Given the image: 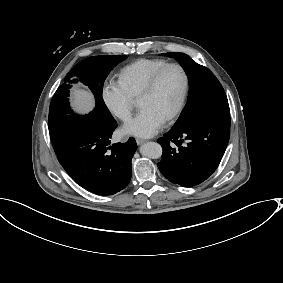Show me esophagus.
I'll return each mask as SVG.
<instances>
[{"instance_id":"obj_1","label":"esophagus","mask_w":283,"mask_h":283,"mask_svg":"<svg viewBox=\"0 0 283 283\" xmlns=\"http://www.w3.org/2000/svg\"><path fill=\"white\" fill-rule=\"evenodd\" d=\"M136 142H137L138 145H142L143 143L146 142V140L140 139V138H136Z\"/></svg>"}]
</instances>
